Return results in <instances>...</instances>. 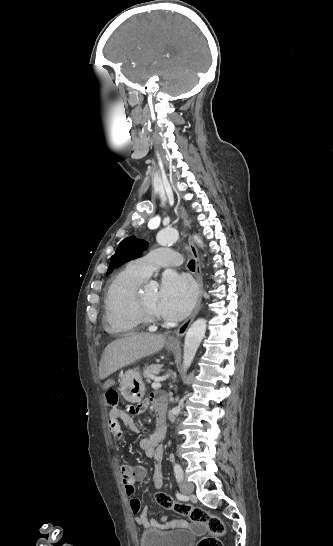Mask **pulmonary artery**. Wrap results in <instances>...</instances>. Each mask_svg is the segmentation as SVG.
Instances as JSON below:
<instances>
[{"mask_svg": "<svg viewBox=\"0 0 333 546\" xmlns=\"http://www.w3.org/2000/svg\"><path fill=\"white\" fill-rule=\"evenodd\" d=\"M181 255L173 250L158 248L131 262V266L144 278H148L155 270L165 266H179Z\"/></svg>", "mask_w": 333, "mask_h": 546, "instance_id": "1", "label": "pulmonary artery"}]
</instances>
